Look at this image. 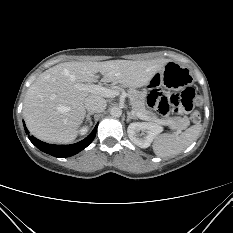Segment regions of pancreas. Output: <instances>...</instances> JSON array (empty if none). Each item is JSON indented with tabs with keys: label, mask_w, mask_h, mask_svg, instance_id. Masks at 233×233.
Returning <instances> with one entry per match:
<instances>
[{
	"label": "pancreas",
	"mask_w": 233,
	"mask_h": 233,
	"mask_svg": "<svg viewBox=\"0 0 233 233\" xmlns=\"http://www.w3.org/2000/svg\"><path fill=\"white\" fill-rule=\"evenodd\" d=\"M128 94L130 97V103L132 106V111L137 115L141 114L145 120H150L163 124L164 122H169L171 126L178 130L185 129L189 120L187 117L184 118H174L170 120L158 119L152 112L148 111L145 107V94L134 89H129ZM138 117V116H137ZM139 118V117H138Z\"/></svg>",
	"instance_id": "1"
}]
</instances>
